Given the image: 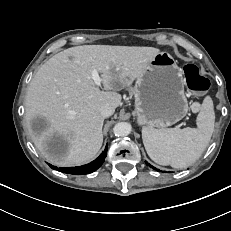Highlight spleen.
I'll return each instance as SVG.
<instances>
[{
	"instance_id": "obj_1",
	"label": "spleen",
	"mask_w": 231,
	"mask_h": 231,
	"mask_svg": "<svg viewBox=\"0 0 231 231\" xmlns=\"http://www.w3.org/2000/svg\"><path fill=\"white\" fill-rule=\"evenodd\" d=\"M197 128H142V139L149 157L157 164L186 168L206 149L215 122L213 101L207 96L196 119Z\"/></svg>"
}]
</instances>
